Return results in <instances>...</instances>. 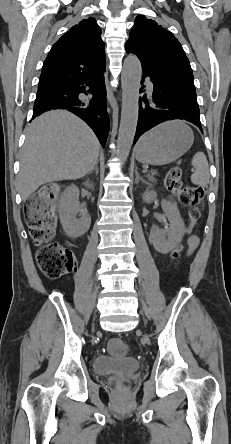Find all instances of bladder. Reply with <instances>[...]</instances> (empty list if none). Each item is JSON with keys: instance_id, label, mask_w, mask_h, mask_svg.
<instances>
[{"instance_id": "bladder-1", "label": "bladder", "mask_w": 231, "mask_h": 444, "mask_svg": "<svg viewBox=\"0 0 231 444\" xmlns=\"http://www.w3.org/2000/svg\"><path fill=\"white\" fill-rule=\"evenodd\" d=\"M141 368L138 361L130 359H119L104 354H99L94 358L93 369L98 375L109 373H133Z\"/></svg>"}]
</instances>
